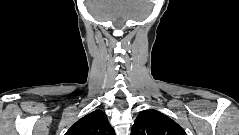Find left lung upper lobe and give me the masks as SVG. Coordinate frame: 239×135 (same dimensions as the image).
<instances>
[{"label":"left lung upper lobe","instance_id":"obj_1","mask_svg":"<svg viewBox=\"0 0 239 135\" xmlns=\"http://www.w3.org/2000/svg\"><path fill=\"white\" fill-rule=\"evenodd\" d=\"M131 135H186L183 128L161 112L149 109L139 113Z\"/></svg>","mask_w":239,"mask_h":135}]
</instances>
